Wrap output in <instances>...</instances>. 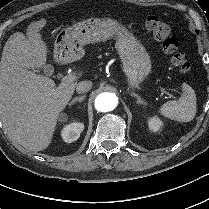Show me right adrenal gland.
I'll use <instances>...</instances> for the list:
<instances>
[{"instance_id":"2a0ac1e0","label":"right adrenal gland","mask_w":209,"mask_h":209,"mask_svg":"<svg viewBox=\"0 0 209 209\" xmlns=\"http://www.w3.org/2000/svg\"><path fill=\"white\" fill-rule=\"evenodd\" d=\"M85 97H86L85 95H82V96H80V97H75V98L69 103V107H71L72 104H74V103L77 102V101L81 103Z\"/></svg>"}]
</instances>
